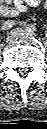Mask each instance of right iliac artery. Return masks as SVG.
Segmentation results:
<instances>
[{"label":"right iliac artery","mask_w":47,"mask_h":129,"mask_svg":"<svg viewBox=\"0 0 47 129\" xmlns=\"http://www.w3.org/2000/svg\"><path fill=\"white\" fill-rule=\"evenodd\" d=\"M14 25L23 26V28H25L29 32H34L35 31V27L33 25L27 24V23H24V22L15 23V21H9V22H7L6 25L4 26V30L10 29Z\"/></svg>","instance_id":"82829eb1"}]
</instances>
